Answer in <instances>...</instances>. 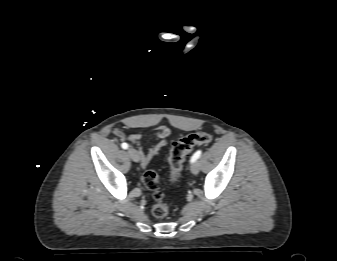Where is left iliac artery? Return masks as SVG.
<instances>
[{
  "label": "left iliac artery",
  "mask_w": 337,
  "mask_h": 261,
  "mask_svg": "<svg viewBox=\"0 0 337 261\" xmlns=\"http://www.w3.org/2000/svg\"><path fill=\"white\" fill-rule=\"evenodd\" d=\"M202 154L201 150L196 151L193 156L191 157V162H195Z\"/></svg>",
  "instance_id": "left-iliac-artery-1"
}]
</instances>
